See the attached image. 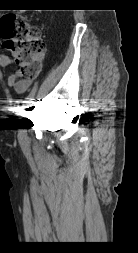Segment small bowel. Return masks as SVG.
Here are the masks:
<instances>
[{
    "label": "small bowel",
    "mask_w": 138,
    "mask_h": 253,
    "mask_svg": "<svg viewBox=\"0 0 138 253\" xmlns=\"http://www.w3.org/2000/svg\"><path fill=\"white\" fill-rule=\"evenodd\" d=\"M0 64L2 66H8L12 64V60L6 54H0ZM32 81V78L24 77L19 69L11 73L7 79L8 85L20 94L24 93L31 86Z\"/></svg>",
    "instance_id": "c3829d8e"
}]
</instances>
